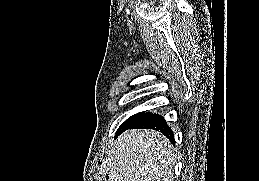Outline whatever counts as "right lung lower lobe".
Instances as JSON below:
<instances>
[{
    "label": "right lung lower lobe",
    "instance_id": "98d812e1",
    "mask_svg": "<svg viewBox=\"0 0 259 181\" xmlns=\"http://www.w3.org/2000/svg\"><path fill=\"white\" fill-rule=\"evenodd\" d=\"M127 129H154L162 132L173 144H175L174 134L167 125L164 118L158 114L143 113L134 122L119 128L117 136Z\"/></svg>",
    "mask_w": 259,
    "mask_h": 181
}]
</instances>
